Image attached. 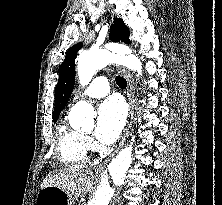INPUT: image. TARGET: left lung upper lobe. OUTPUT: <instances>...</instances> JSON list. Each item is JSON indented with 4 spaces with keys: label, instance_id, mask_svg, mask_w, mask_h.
Masks as SVG:
<instances>
[{
    "label": "left lung upper lobe",
    "instance_id": "left-lung-upper-lobe-1",
    "mask_svg": "<svg viewBox=\"0 0 222 205\" xmlns=\"http://www.w3.org/2000/svg\"><path fill=\"white\" fill-rule=\"evenodd\" d=\"M110 39L115 42L130 44L129 29L120 18H115L110 27ZM82 43L72 46L66 53V57L59 69V80L55 89V107L53 112V122L55 123L69 100L75 82V58L81 49Z\"/></svg>",
    "mask_w": 222,
    "mask_h": 205
}]
</instances>
